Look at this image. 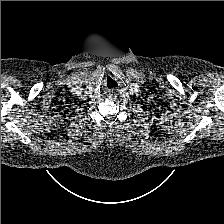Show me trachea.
Here are the masks:
<instances>
[{
	"label": "trachea",
	"instance_id": "trachea-1",
	"mask_svg": "<svg viewBox=\"0 0 224 224\" xmlns=\"http://www.w3.org/2000/svg\"><path fill=\"white\" fill-rule=\"evenodd\" d=\"M118 86L117 81H115L113 78L111 77H107V80L105 81V87L108 90H112L114 88H116Z\"/></svg>",
	"mask_w": 224,
	"mask_h": 224
}]
</instances>
